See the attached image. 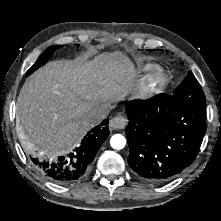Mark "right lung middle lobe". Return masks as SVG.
I'll return each mask as SVG.
<instances>
[{"label":"right lung middle lobe","instance_id":"dd1d6c3e","mask_svg":"<svg viewBox=\"0 0 221 221\" xmlns=\"http://www.w3.org/2000/svg\"><path fill=\"white\" fill-rule=\"evenodd\" d=\"M61 47V45H54L46 49L45 52L35 62V64L29 69V71L27 72V76L33 73L43 64H45L48 61L49 57L53 54V52Z\"/></svg>","mask_w":221,"mask_h":221}]
</instances>
